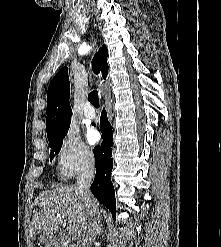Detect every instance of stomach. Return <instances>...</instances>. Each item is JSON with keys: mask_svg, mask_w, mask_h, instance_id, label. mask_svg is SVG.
I'll return each mask as SVG.
<instances>
[{"mask_svg": "<svg viewBox=\"0 0 221 247\" xmlns=\"http://www.w3.org/2000/svg\"><path fill=\"white\" fill-rule=\"evenodd\" d=\"M50 234H51L50 232H47L41 235L40 237L41 242H47L48 240H50L51 238Z\"/></svg>", "mask_w": 221, "mask_h": 247, "instance_id": "stomach-1", "label": "stomach"}]
</instances>
